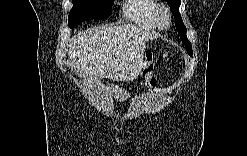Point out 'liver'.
Instances as JSON below:
<instances>
[{
  "mask_svg": "<svg viewBox=\"0 0 247 156\" xmlns=\"http://www.w3.org/2000/svg\"><path fill=\"white\" fill-rule=\"evenodd\" d=\"M157 37L135 25L96 26L71 38L70 63L89 81H130L142 70L146 43Z\"/></svg>",
  "mask_w": 247,
  "mask_h": 156,
  "instance_id": "6515ba94",
  "label": "liver"
}]
</instances>
